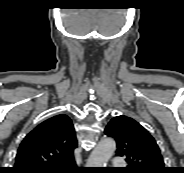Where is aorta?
I'll return each instance as SVG.
<instances>
[{"instance_id":"1","label":"aorta","mask_w":184,"mask_h":173,"mask_svg":"<svg viewBox=\"0 0 184 173\" xmlns=\"http://www.w3.org/2000/svg\"><path fill=\"white\" fill-rule=\"evenodd\" d=\"M116 149V143L113 138H104L92 151L87 165L88 167H106L109 159Z\"/></svg>"}]
</instances>
